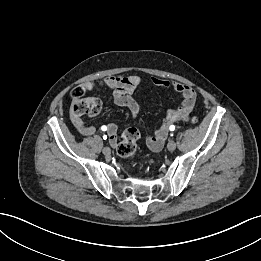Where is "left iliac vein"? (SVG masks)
<instances>
[{
  "instance_id": "obj_1",
  "label": "left iliac vein",
  "mask_w": 261,
  "mask_h": 261,
  "mask_svg": "<svg viewBox=\"0 0 261 261\" xmlns=\"http://www.w3.org/2000/svg\"><path fill=\"white\" fill-rule=\"evenodd\" d=\"M175 148H176V143H175V141H174V140H170V141L168 142V144H167V149H168L169 151H174Z\"/></svg>"
}]
</instances>
